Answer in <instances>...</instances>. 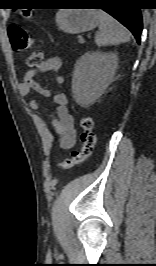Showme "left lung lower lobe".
<instances>
[{"mask_svg": "<svg viewBox=\"0 0 156 266\" xmlns=\"http://www.w3.org/2000/svg\"><path fill=\"white\" fill-rule=\"evenodd\" d=\"M68 3L88 4L103 6L98 7L103 9L108 14L116 18L120 23L127 27L136 41L140 43L141 32L143 28L142 16L140 7H136L132 0H104L99 3L95 0H68Z\"/></svg>", "mask_w": 156, "mask_h": 266, "instance_id": "obj_1", "label": "left lung lower lobe"}]
</instances>
